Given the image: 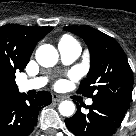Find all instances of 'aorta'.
Segmentation results:
<instances>
[{
    "instance_id": "1",
    "label": "aorta",
    "mask_w": 136,
    "mask_h": 136,
    "mask_svg": "<svg viewBox=\"0 0 136 136\" xmlns=\"http://www.w3.org/2000/svg\"><path fill=\"white\" fill-rule=\"evenodd\" d=\"M36 61L43 67H52L58 62V52L50 44L41 45L35 54ZM59 112L61 115L70 117L74 114L75 105L72 101H62L59 104Z\"/></svg>"
}]
</instances>
